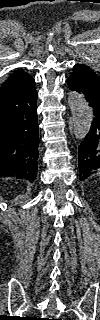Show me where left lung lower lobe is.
Listing matches in <instances>:
<instances>
[{
    "mask_svg": "<svg viewBox=\"0 0 100 320\" xmlns=\"http://www.w3.org/2000/svg\"><path fill=\"white\" fill-rule=\"evenodd\" d=\"M67 84L70 90L84 96L93 114L90 130L78 147L80 179L83 180L94 170H100V84L75 68Z\"/></svg>",
    "mask_w": 100,
    "mask_h": 320,
    "instance_id": "1",
    "label": "left lung lower lobe"
}]
</instances>
